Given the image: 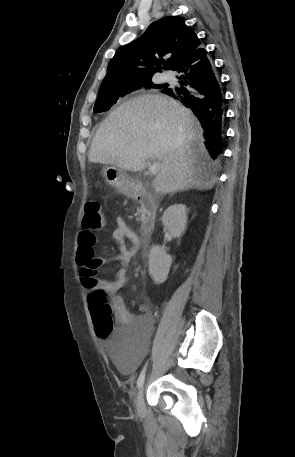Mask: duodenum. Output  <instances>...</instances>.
<instances>
[{
  "mask_svg": "<svg viewBox=\"0 0 295 457\" xmlns=\"http://www.w3.org/2000/svg\"><path fill=\"white\" fill-rule=\"evenodd\" d=\"M131 197L136 200L142 210L140 239L143 247H147L156 224V204L150 194L142 187H135Z\"/></svg>",
  "mask_w": 295,
  "mask_h": 457,
  "instance_id": "410a0bca",
  "label": "duodenum"
}]
</instances>
